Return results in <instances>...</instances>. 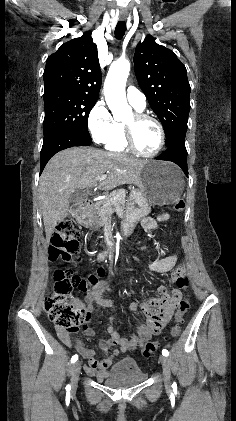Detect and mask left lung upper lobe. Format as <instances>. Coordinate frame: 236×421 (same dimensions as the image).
I'll return each mask as SVG.
<instances>
[{"mask_svg":"<svg viewBox=\"0 0 236 421\" xmlns=\"http://www.w3.org/2000/svg\"><path fill=\"white\" fill-rule=\"evenodd\" d=\"M134 66L139 86L164 127L166 146L185 139L191 90L185 66L151 35L137 45Z\"/></svg>","mask_w":236,"mask_h":421,"instance_id":"left-lung-upper-lobe-1","label":"left lung upper lobe"}]
</instances>
